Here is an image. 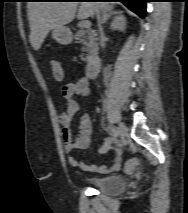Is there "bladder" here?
Returning <instances> with one entry per match:
<instances>
[{"instance_id":"1","label":"bladder","mask_w":188,"mask_h":213,"mask_svg":"<svg viewBox=\"0 0 188 213\" xmlns=\"http://www.w3.org/2000/svg\"><path fill=\"white\" fill-rule=\"evenodd\" d=\"M84 181L92 188L107 195L119 194L126 188L125 179L119 176H94L86 178Z\"/></svg>"}]
</instances>
